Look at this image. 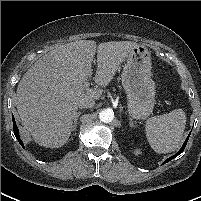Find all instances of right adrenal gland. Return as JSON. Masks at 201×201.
Returning <instances> with one entry per match:
<instances>
[{"mask_svg": "<svg viewBox=\"0 0 201 201\" xmlns=\"http://www.w3.org/2000/svg\"><path fill=\"white\" fill-rule=\"evenodd\" d=\"M80 115H81V111H79L78 113H76L75 118H74V123H73L72 131H74L76 129L78 118H79Z\"/></svg>", "mask_w": 201, "mask_h": 201, "instance_id": "right-adrenal-gland-1", "label": "right adrenal gland"}]
</instances>
